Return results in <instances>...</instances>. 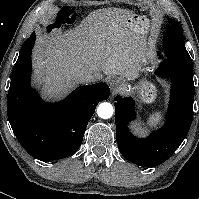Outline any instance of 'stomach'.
Segmentation results:
<instances>
[{"label":"stomach","instance_id":"obj_1","mask_svg":"<svg viewBox=\"0 0 199 199\" xmlns=\"http://www.w3.org/2000/svg\"><path fill=\"white\" fill-rule=\"evenodd\" d=\"M128 23L133 26H138L141 29H147L149 25V21L145 16L133 15L130 19H128ZM148 53L144 48L141 54L140 65L146 63V58ZM131 90L137 93V98L139 102V106L142 107L145 104L153 103L157 98V89L155 85L149 83L145 80H141L138 85L131 88Z\"/></svg>","mask_w":199,"mask_h":199}]
</instances>
